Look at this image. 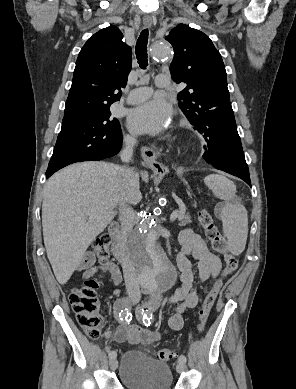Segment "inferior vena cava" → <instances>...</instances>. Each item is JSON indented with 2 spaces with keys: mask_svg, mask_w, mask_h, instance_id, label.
Here are the masks:
<instances>
[{
  "mask_svg": "<svg viewBox=\"0 0 296 389\" xmlns=\"http://www.w3.org/2000/svg\"><path fill=\"white\" fill-rule=\"evenodd\" d=\"M124 142L125 148L121 153V159L123 162L127 163L132 159L133 147L136 143V139L133 136H126L124 138ZM118 174L123 184L127 185L135 175V172L131 168L120 167ZM119 219L121 221V237L123 242L126 243L127 238L131 234L133 226L135 224V212L131 207L127 205V203H123L120 205ZM123 273L128 296L134 302H138L141 298L140 285L137 278L136 270L129 259L123 260Z\"/></svg>",
  "mask_w": 296,
  "mask_h": 389,
  "instance_id": "obj_1",
  "label": "inferior vena cava"
}]
</instances>
